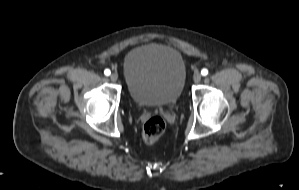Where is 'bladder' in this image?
I'll list each match as a JSON object with an SVG mask.
<instances>
[{
  "label": "bladder",
  "mask_w": 299,
  "mask_h": 190,
  "mask_svg": "<svg viewBox=\"0 0 299 190\" xmlns=\"http://www.w3.org/2000/svg\"><path fill=\"white\" fill-rule=\"evenodd\" d=\"M122 69L132 100L142 106L174 103L186 81V64L181 52L165 44L135 47L125 56Z\"/></svg>",
  "instance_id": "31cf9c89"
}]
</instances>
